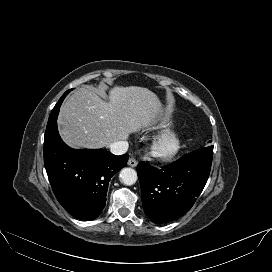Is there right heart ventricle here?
I'll use <instances>...</instances> for the list:
<instances>
[{
	"label": "right heart ventricle",
	"mask_w": 272,
	"mask_h": 272,
	"mask_svg": "<svg viewBox=\"0 0 272 272\" xmlns=\"http://www.w3.org/2000/svg\"><path fill=\"white\" fill-rule=\"evenodd\" d=\"M168 123L166 121L162 122L163 126H166Z\"/></svg>",
	"instance_id": "e07e8e85"
}]
</instances>
